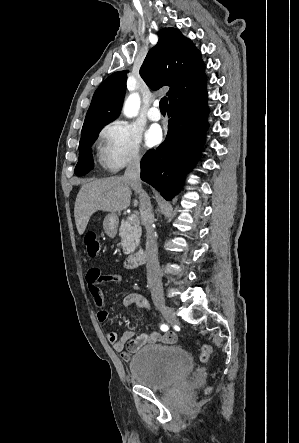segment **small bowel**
I'll list each match as a JSON object with an SVG mask.
<instances>
[{"label":"small bowel","mask_w":299,"mask_h":443,"mask_svg":"<svg viewBox=\"0 0 299 443\" xmlns=\"http://www.w3.org/2000/svg\"><path fill=\"white\" fill-rule=\"evenodd\" d=\"M88 291L93 299L95 307L97 309V319L100 322H105L109 318V313L105 308V302L103 294L99 288L101 282H116L121 280V276L118 274L102 275L100 270L92 268L88 270L86 275ZM123 303L125 307H131L133 305L142 308L146 311H150L151 307L148 300L139 293H129L125 296ZM133 331L126 330L122 335H119L115 331H110L107 335L108 341L111 343L115 351L121 353V356L125 360H129L133 353L139 350L141 347L150 344L162 343L173 344L177 340V336L173 332L160 334L157 332L141 333L133 338ZM126 344L128 347L126 349Z\"/></svg>","instance_id":"c3829d8e"}]
</instances>
